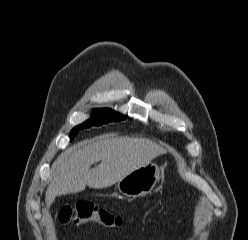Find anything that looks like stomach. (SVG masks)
Here are the masks:
<instances>
[{
	"mask_svg": "<svg viewBox=\"0 0 248 240\" xmlns=\"http://www.w3.org/2000/svg\"><path fill=\"white\" fill-rule=\"evenodd\" d=\"M160 178V167L149 163L140 167L117 182L119 193L127 197H143L154 189Z\"/></svg>",
	"mask_w": 248,
	"mask_h": 240,
	"instance_id": "obj_1",
	"label": "stomach"
}]
</instances>
